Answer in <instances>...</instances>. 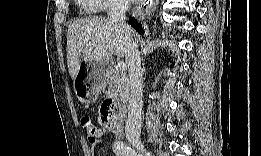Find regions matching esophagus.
Masks as SVG:
<instances>
[{"label":"esophagus","instance_id":"obj_1","mask_svg":"<svg viewBox=\"0 0 261 156\" xmlns=\"http://www.w3.org/2000/svg\"><path fill=\"white\" fill-rule=\"evenodd\" d=\"M157 5H158L157 1L151 2L145 8H143V6H142V7H139L138 9H136L135 14L139 15V16L150 15L156 9Z\"/></svg>","mask_w":261,"mask_h":156}]
</instances>
